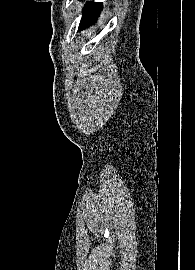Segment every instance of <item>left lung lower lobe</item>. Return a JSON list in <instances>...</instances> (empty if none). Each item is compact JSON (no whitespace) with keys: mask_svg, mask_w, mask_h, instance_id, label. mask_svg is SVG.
<instances>
[{"mask_svg":"<svg viewBox=\"0 0 195 270\" xmlns=\"http://www.w3.org/2000/svg\"><path fill=\"white\" fill-rule=\"evenodd\" d=\"M101 10L102 3H88L83 10V16L79 25V30H83L84 28L93 24L99 17Z\"/></svg>","mask_w":195,"mask_h":270,"instance_id":"1","label":"left lung lower lobe"}]
</instances>
